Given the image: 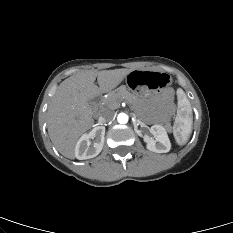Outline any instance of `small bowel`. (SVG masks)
<instances>
[{
	"label": "small bowel",
	"instance_id": "1",
	"mask_svg": "<svg viewBox=\"0 0 233 233\" xmlns=\"http://www.w3.org/2000/svg\"><path fill=\"white\" fill-rule=\"evenodd\" d=\"M157 109L163 117H168L172 114L173 105V94L171 91H166L161 97L156 101Z\"/></svg>",
	"mask_w": 233,
	"mask_h": 233
}]
</instances>
